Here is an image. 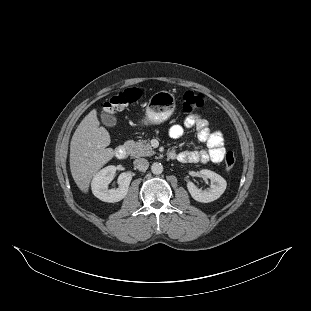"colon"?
<instances>
[{"label": "colon", "mask_w": 311, "mask_h": 311, "mask_svg": "<svg viewBox=\"0 0 311 311\" xmlns=\"http://www.w3.org/2000/svg\"><path fill=\"white\" fill-rule=\"evenodd\" d=\"M140 98V92L137 89H128L117 96L112 97L105 104V111L109 114L123 111L128 105L136 102ZM203 106V98L192 92L187 91L182 97V109L186 113H192ZM236 163V157L233 152H227L224 157V167L231 170Z\"/></svg>", "instance_id": "obj_1"}]
</instances>
